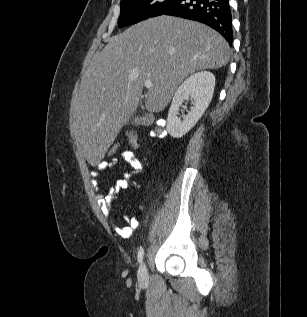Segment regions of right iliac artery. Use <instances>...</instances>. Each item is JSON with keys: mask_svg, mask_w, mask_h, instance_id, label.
<instances>
[{"mask_svg": "<svg viewBox=\"0 0 307 317\" xmlns=\"http://www.w3.org/2000/svg\"><path fill=\"white\" fill-rule=\"evenodd\" d=\"M143 256H144V250L143 248L141 247L138 251V262L139 263H142V260H143Z\"/></svg>", "mask_w": 307, "mask_h": 317, "instance_id": "82829eb1", "label": "right iliac artery"}]
</instances>
